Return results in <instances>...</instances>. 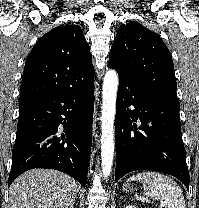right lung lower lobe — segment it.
<instances>
[{
	"mask_svg": "<svg viewBox=\"0 0 199 208\" xmlns=\"http://www.w3.org/2000/svg\"><path fill=\"white\" fill-rule=\"evenodd\" d=\"M94 78L85 85L20 104L8 186L32 168L87 182L92 145Z\"/></svg>",
	"mask_w": 199,
	"mask_h": 208,
	"instance_id": "1",
	"label": "right lung lower lobe"
}]
</instances>
